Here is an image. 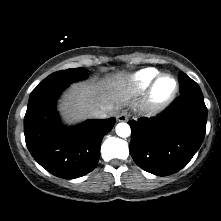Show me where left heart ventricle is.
Segmentation results:
<instances>
[{"label": "left heart ventricle", "mask_w": 221, "mask_h": 221, "mask_svg": "<svg viewBox=\"0 0 221 221\" xmlns=\"http://www.w3.org/2000/svg\"><path fill=\"white\" fill-rule=\"evenodd\" d=\"M173 87H174V83L170 78H163L158 83L157 90H156L157 96L160 98L166 96L167 94L171 92Z\"/></svg>", "instance_id": "1"}]
</instances>
